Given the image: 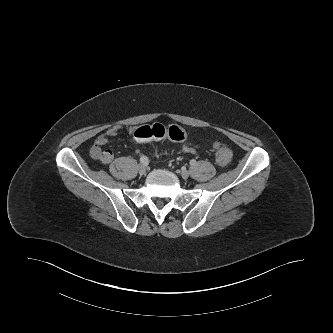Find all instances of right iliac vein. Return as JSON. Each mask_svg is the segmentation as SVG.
Masks as SVG:
<instances>
[{
	"mask_svg": "<svg viewBox=\"0 0 333 333\" xmlns=\"http://www.w3.org/2000/svg\"><path fill=\"white\" fill-rule=\"evenodd\" d=\"M147 171V166L145 164H139L138 165V172L143 175Z\"/></svg>",
	"mask_w": 333,
	"mask_h": 333,
	"instance_id": "right-iliac-vein-1",
	"label": "right iliac vein"
}]
</instances>
